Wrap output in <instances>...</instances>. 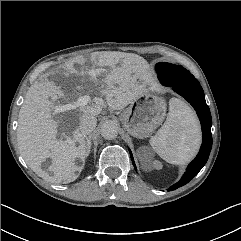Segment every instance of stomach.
Returning <instances> with one entry per match:
<instances>
[{
	"label": "stomach",
	"mask_w": 241,
	"mask_h": 241,
	"mask_svg": "<svg viewBox=\"0 0 241 241\" xmlns=\"http://www.w3.org/2000/svg\"><path fill=\"white\" fill-rule=\"evenodd\" d=\"M165 116V100L153 92H145L123 110L120 120L129 134L145 138L162 124Z\"/></svg>",
	"instance_id": "1"
}]
</instances>
